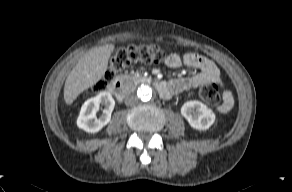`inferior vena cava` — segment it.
Listing matches in <instances>:
<instances>
[{
	"mask_svg": "<svg viewBox=\"0 0 292 192\" xmlns=\"http://www.w3.org/2000/svg\"><path fill=\"white\" fill-rule=\"evenodd\" d=\"M138 102V97L134 94L128 95L125 98V104L128 106H133Z\"/></svg>",
	"mask_w": 292,
	"mask_h": 192,
	"instance_id": "1",
	"label": "inferior vena cava"
}]
</instances>
